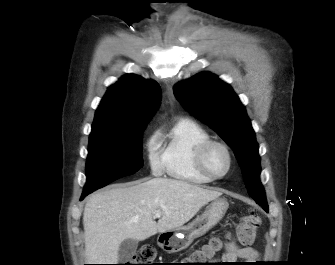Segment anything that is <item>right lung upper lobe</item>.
<instances>
[{"instance_id": "cb5924a9", "label": "right lung upper lobe", "mask_w": 335, "mask_h": 265, "mask_svg": "<svg viewBox=\"0 0 335 265\" xmlns=\"http://www.w3.org/2000/svg\"><path fill=\"white\" fill-rule=\"evenodd\" d=\"M161 99L157 82L128 74L110 86L103 97L92 125V132H122L147 124Z\"/></svg>"}]
</instances>
